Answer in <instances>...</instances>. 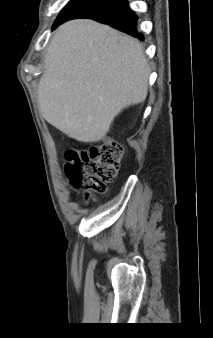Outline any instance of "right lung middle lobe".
Instances as JSON below:
<instances>
[{
	"mask_svg": "<svg viewBox=\"0 0 213 338\" xmlns=\"http://www.w3.org/2000/svg\"><path fill=\"white\" fill-rule=\"evenodd\" d=\"M93 0H71L61 11L57 17L53 29L60 25L67 17H69L75 10L81 6L92 2Z\"/></svg>",
	"mask_w": 213,
	"mask_h": 338,
	"instance_id": "dd1d6c3e",
	"label": "right lung middle lobe"
}]
</instances>
